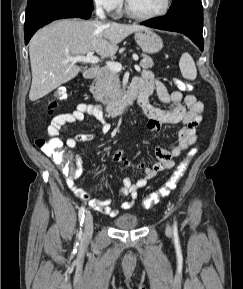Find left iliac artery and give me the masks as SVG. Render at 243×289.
<instances>
[{"instance_id":"left-iliac-artery-1","label":"left iliac artery","mask_w":243,"mask_h":289,"mask_svg":"<svg viewBox=\"0 0 243 289\" xmlns=\"http://www.w3.org/2000/svg\"><path fill=\"white\" fill-rule=\"evenodd\" d=\"M174 226L177 227V223L176 222H175Z\"/></svg>"}]
</instances>
